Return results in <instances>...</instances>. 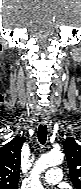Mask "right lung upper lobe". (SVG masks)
Instances as JSON below:
<instances>
[{"instance_id": "1", "label": "right lung upper lobe", "mask_w": 81, "mask_h": 189, "mask_svg": "<svg viewBox=\"0 0 81 189\" xmlns=\"http://www.w3.org/2000/svg\"><path fill=\"white\" fill-rule=\"evenodd\" d=\"M26 139L16 136L0 148V189H17L20 178L21 149Z\"/></svg>"}]
</instances>
